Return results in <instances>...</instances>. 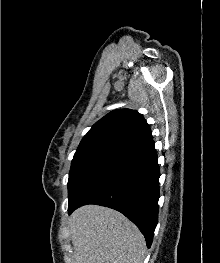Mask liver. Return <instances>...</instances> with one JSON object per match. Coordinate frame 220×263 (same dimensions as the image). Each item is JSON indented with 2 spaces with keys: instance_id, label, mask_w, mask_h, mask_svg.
Listing matches in <instances>:
<instances>
[{
  "instance_id": "6515ba94",
  "label": "liver",
  "mask_w": 220,
  "mask_h": 263,
  "mask_svg": "<svg viewBox=\"0 0 220 263\" xmlns=\"http://www.w3.org/2000/svg\"><path fill=\"white\" fill-rule=\"evenodd\" d=\"M74 263H142L146 251L140 230L120 212L86 205L69 218Z\"/></svg>"
}]
</instances>
